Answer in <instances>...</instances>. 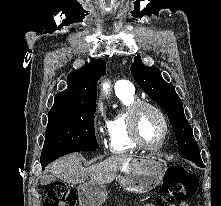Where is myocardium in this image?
Segmentation results:
<instances>
[{"instance_id":"myocardium-1","label":"myocardium","mask_w":221,"mask_h":206,"mask_svg":"<svg viewBox=\"0 0 221 206\" xmlns=\"http://www.w3.org/2000/svg\"><path fill=\"white\" fill-rule=\"evenodd\" d=\"M143 108H148L154 111L160 117L162 121L163 129H164L163 137H162V140L156 145H148L141 138L139 128H138V116H139L140 110ZM128 127H129L130 137L133 143L138 148L146 150V151L160 150L166 144V141L169 136V123H168L166 115L164 114V112L161 110L160 107L148 101L138 100L129 108Z\"/></svg>"}]
</instances>
